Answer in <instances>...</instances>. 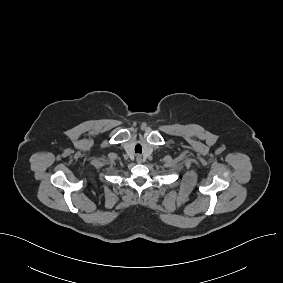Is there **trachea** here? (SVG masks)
Here are the masks:
<instances>
[{
	"mask_svg": "<svg viewBox=\"0 0 283 283\" xmlns=\"http://www.w3.org/2000/svg\"><path fill=\"white\" fill-rule=\"evenodd\" d=\"M135 152H136V153H142V147H141L140 144H137V145L135 146Z\"/></svg>",
	"mask_w": 283,
	"mask_h": 283,
	"instance_id": "1",
	"label": "trachea"
}]
</instances>
